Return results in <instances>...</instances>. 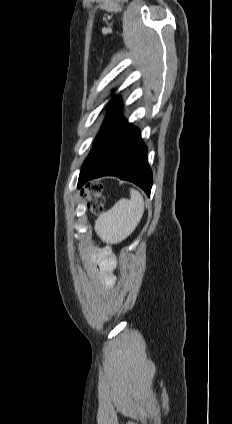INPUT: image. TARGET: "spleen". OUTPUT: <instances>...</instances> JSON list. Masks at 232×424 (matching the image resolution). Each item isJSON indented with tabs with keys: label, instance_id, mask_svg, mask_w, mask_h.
<instances>
[{
	"label": "spleen",
	"instance_id": "obj_1",
	"mask_svg": "<svg viewBox=\"0 0 232 424\" xmlns=\"http://www.w3.org/2000/svg\"><path fill=\"white\" fill-rule=\"evenodd\" d=\"M144 213V199L135 189H130V199H120L102 213L95 231L102 241L115 244L126 239L137 227Z\"/></svg>",
	"mask_w": 232,
	"mask_h": 424
}]
</instances>
